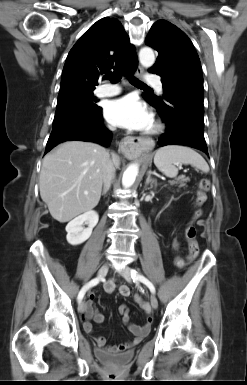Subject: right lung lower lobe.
Listing matches in <instances>:
<instances>
[{"label":"right lung lower lobe","mask_w":247,"mask_h":385,"mask_svg":"<svg viewBox=\"0 0 247 385\" xmlns=\"http://www.w3.org/2000/svg\"><path fill=\"white\" fill-rule=\"evenodd\" d=\"M136 67L130 73H134ZM101 112L102 108H99L92 112H77L54 120L45 153L58 143L67 140L93 141L104 146L108 145L111 141V132L103 126Z\"/></svg>","instance_id":"right-lung-lower-lobe-1"}]
</instances>
